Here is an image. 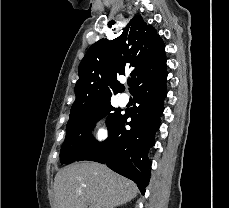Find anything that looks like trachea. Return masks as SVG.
<instances>
[{
  "label": "trachea",
  "instance_id": "obj_1",
  "mask_svg": "<svg viewBox=\"0 0 229 208\" xmlns=\"http://www.w3.org/2000/svg\"><path fill=\"white\" fill-rule=\"evenodd\" d=\"M131 84V81H128V85H130Z\"/></svg>",
  "mask_w": 229,
  "mask_h": 208
}]
</instances>
